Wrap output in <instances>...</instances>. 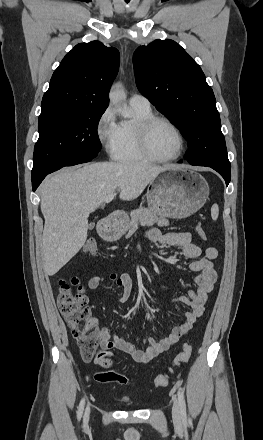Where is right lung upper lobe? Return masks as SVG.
I'll return each instance as SVG.
<instances>
[{"mask_svg":"<svg viewBox=\"0 0 263 440\" xmlns=\"http://www.w3.org/2000/svg\"><path fill=\"white\" fill-rule=\"evenodd\" d=\"M119 62L118 50L99 41L76 45L53 73L41 113L106 109Z\"/></svg>","mask_w":263,"mask_h":440,"instance_id":"1","label":"right lung upper lobe"}]
</instances>
